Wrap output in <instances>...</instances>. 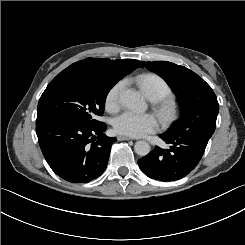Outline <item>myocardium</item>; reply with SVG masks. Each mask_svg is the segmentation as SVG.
<instances>
[{
    "label": "myocardium",
    "instance_id": "1",
    "mask_svg": "<svg viewBox=\"0 0 245 245\" xmlns=\"http://www.w3.org/2000/svg\"><path fill=\"white\" fill-rule=\"evenodd\" d=\"M157 101L160 116L164 121H169L172 118L175 109L173 101L169 97Z\"/></svg>",
    "mask_w": 245,
    "mask_h": 245
}]
</instances>
